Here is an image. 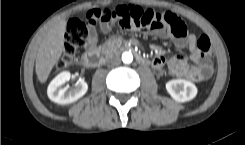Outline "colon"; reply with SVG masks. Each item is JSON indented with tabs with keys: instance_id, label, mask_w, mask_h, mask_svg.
Returning a JSON list of instances; mask_svg holds the SVG:
<instances>
[{
	"instance_id": "5ec220e1",
	"label": "colon",
	"mask_w": 245,
	"mask_h": 145,
	"mask_svg": "<svg viewBox=\"0 0 245 145\" xmlns=\"http://www.w3.org/2000/svg\"><path fill=\"white\" fill-rule=\"evenodd\" d=\"M100 17L109 18L115 17L118 25L122 29H138L144 31H155L160 28V16L148 11H144L139 7L130 9H117L114 11H101ZM172 30L177 36H181L185 32V26L179 21H173L171 24ZM86 27L80 21L74 20L67 24L66 39L64 53L61 59L57 62V67L64 66L67 61L75 55L79 47L84 44V36ZM197 49L205 55H208L211 50V44L207 36L201 35L196 40Z\"/></svg>"
}]
</instances>
